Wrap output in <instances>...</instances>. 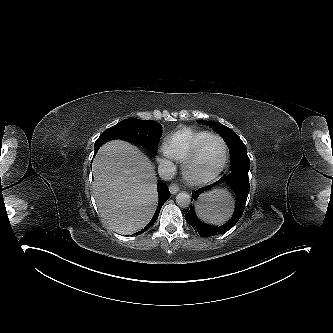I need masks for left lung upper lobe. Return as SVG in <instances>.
Here are the masks:
<instances>
[{"label":"left lung upper lobe","instance_id":"obj_1","mask_svg":"<svg viewBox=\"0 0 333 333\" xmlns=\"http://www.w3.org/2000/svg\"><path fill=\"white\" fill-rule=\"evenodd\" d=\"M198 122L212 127L225 139L231 152L232 163V172L227 176L235 179H239L245 176L248 177L250 160L246 152V146L237 136V134L227 126L217 122L203 120H199Z\"/></svg>","mask_w":333,"mask_h":333}]
</instances>
